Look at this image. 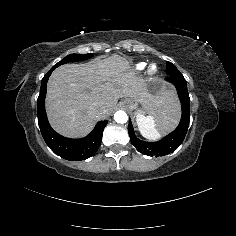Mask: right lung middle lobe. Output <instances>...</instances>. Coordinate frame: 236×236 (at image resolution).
<instances>
[{
    "label": "right lung middle lobe",
    "mask_w": 236,
    "mask_h": 236,
    "mask_svg": "<svg viewBox=\"0 0 236 236\" xmlns=\"http://www.w3.org/2000/svg\"><path fill=\"white\" fill-rule=\"evenodd\" d=\"M93 54H85V55H80V54H71L66 56L64 59H62L60 62H58L55 66L52 68H57L58 66L68 63V62H73V61H83L91 58Z\"/></svg>",
    "instance_id": "obj_1"
}]
</instances>
